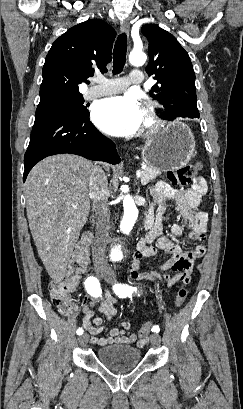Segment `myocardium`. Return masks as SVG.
<instances>
[{
	"label": "myocardium",
	"mask_w": 243,
	"mask_h": 409,
	"mask_svg": "<svg viewBox=\"0 0 243 409\" xmlns=\"http://www.w3.org/2000/svg\"><path fill=\"white\" fill-rule=\"evenodd\" d=\"M144 112L146 115V122L144 123L143 127L144 132L146 134H151L160 130L163 123L157 113L154 103L147 100L145 102Z\"/></svg>",
	"instance_id": "f54148a6"
}]
</instances>
